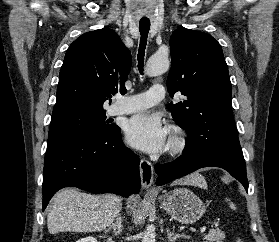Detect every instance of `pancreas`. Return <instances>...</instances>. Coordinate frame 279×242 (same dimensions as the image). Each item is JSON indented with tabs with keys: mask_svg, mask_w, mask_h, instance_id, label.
Wrapping results in <instances>:
<instances>
[{
	"mask_svg": "<svg viewBox=\"0 0 279 242\" xmlns=\"http://www.w3.org/2000/svg\"><path fill=\"white\" fill-rule=\"evenodd\" d=\"M224 238L225 234L223 232H221L219 229H212L209 231L204 239L208 240L209 242H222V239Z\"/></svg>",
	"mask_w": 279,
	"mask_h": 242,
	"instance_id": "pancreas-1",
	"label": "pancreas"
}]
</instances>
